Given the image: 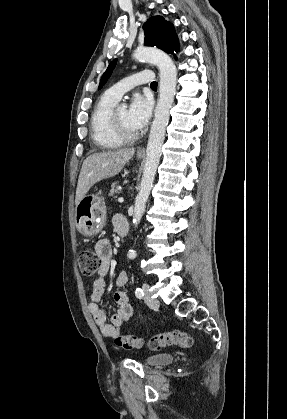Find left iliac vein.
Instances as JSON below:
<instances>
[{"label":"left iliac vein","mask_w":287,"mask_h":419,"mask_svg":"<svg viewBox=\"0 0 287 419\" xmlns=\"http://www.w3.org/2000/svg\"><path fill=\"white\" fill-rule=\"evenodd\" d=\"M142 288H143L144 293H145L144 302L149 307H153V308L158 307L159 302H158L157 299L151 297V294H150V291H149V286L147 284H143Z\"/></svg>","instance_id":"obj_1"}]
</instances>
